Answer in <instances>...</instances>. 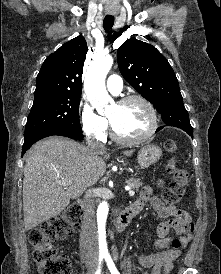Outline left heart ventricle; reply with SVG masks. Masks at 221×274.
Wrapping results in <instances>:
<instances>
[{"label": "left heart ventricle", "mask_w": 221, "mask_h": 274, "mask_svg": "<svg viewBox=\"0 0 221 274\" xmlns=\"http://www.w3.org/2000/svg\"><path fill=\"white\" fill-rule=\"evenodd\" d=\"M107 117L116 132L126 138L142 136L150 125L148 111L139 102L129 103L125 106L114 104L107 113Z\"/></svg>", "instance_id": "b2bd125f"}]
</instances>
